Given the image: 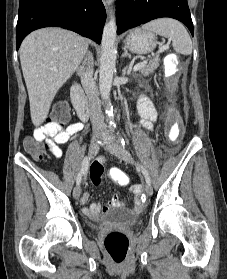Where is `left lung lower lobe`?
<instances>
[{"label":"left lung lower lobe","mask_w":227,"mask_h":279,"mask_svg":"<svg viewBox=\"0 0 227 279\" xmlns=\"http://www.w3.org/2000/svg\"><path fill=\"white\" fill-rule=\"evenodd\" d=\"M117 34L156 18L170 17L184 23L193 35L187 0H117Z\"/></svg>","instance_id":"0a47b994"}]
</instances>
